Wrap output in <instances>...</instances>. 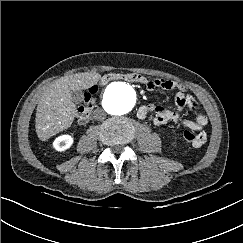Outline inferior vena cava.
I'll use <instances>...</instances> for the list:
<instances>
[{
	"label": "inferior vena cava",
	"mask_w": 243,
	"mask_h": 243,
	"mask_svg": "<svg viewBox=\"0 0 243 243\" xmlns=\"http://www.w3.org/2000/svg\"><path fill=\"white\" fill-rule=\"evenodd\" d=\"M92 115L95 120H104L107 116L103 109H95Z\"/></svg>",
	"instance_id": "602c4592"
}]
</instances>
